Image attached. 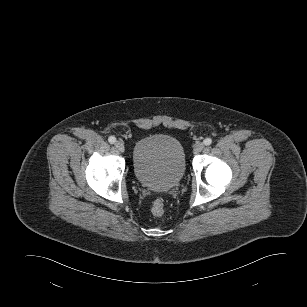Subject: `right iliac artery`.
<instances>
[{
  "mask_svg": "<svg viewBox=\"0 0 307 307\" xmlns=\"http://www.w3.org/2000/svg\"><path fill=\"white\" fill-rule=\"evenodd\" d=\"M109 143L114 144L116 142V138L114 136H110L108 138Z\"/></svg>",
  "mask_w": 307,
  "mask_h": 307,
  "instance_id": "82829eb1",
  "label": "right iliac artery"
}]
</instances>
